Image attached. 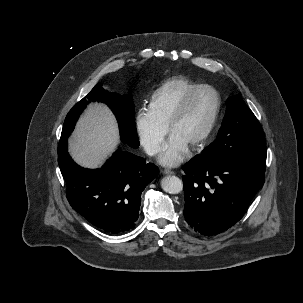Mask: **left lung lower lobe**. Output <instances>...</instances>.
<instances>
[{
    "label": "left lung lower lobe",
    "instance_id": "left-lung-lower-lobe-1",
    "mask_svg": "<svg viewBox=\"0 0 303 303\" xmlns=\"http://www.w3.org/2000/svg\"><path fill=\"white\" fill-rule=\"evenodd\" d=\"M183 169L184 217L205 236L223 232L239 221L265 180L264 173L253 168L200 155Z\"/></svg>",
    "mask_w": 303,
    "mask_h": 303
}]
</instances>
